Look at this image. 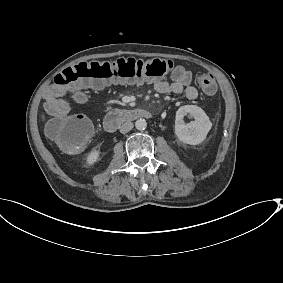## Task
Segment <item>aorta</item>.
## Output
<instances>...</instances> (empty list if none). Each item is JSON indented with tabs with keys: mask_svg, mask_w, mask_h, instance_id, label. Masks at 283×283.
<instances>
[{
	"mask_svg": "<svg viewBox=\"0 0 283 283\" xmlns=\"http://www.w3.org/2000/svg\"><path fill=\"white\" fill-rule=\"evenodd\" d=\"M135 127L137 130H140V131L145 130V128L147 127V122L144 119L140 118L136 120Z\"/></svg>",
	"mask_w": 283,
	"mask_h": 283,
	"instance_id": "obj_1",
	"label": "aorta"
}]
</instances>
